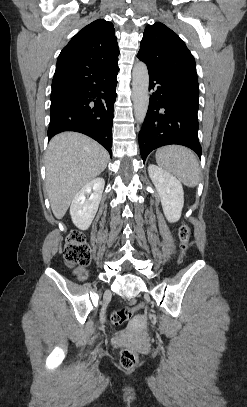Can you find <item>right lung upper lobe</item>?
I'll list each match as a JSON object with an SVG mask.
<instances>
[{"mask_svg":"<svg viewBox=\"0 0 247 407\" xmlns=\"http://www.w3.org/2000/svg\"><path fill=\"white\" fill-rule=\"evenodd\" d=\"M118 55L113 24L104 19L90 23L61 51L52 81V91L74 88L94 72L117 64Z\"/></svg>","mask_w":247,"mask_h":407,"instance_id":"cb5924a9","label":"right lung upper lobe"}]
</instances>
